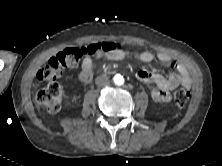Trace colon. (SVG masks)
<instances>
[{
	"label": "colon",
	"instance_id": "colon-1",
	"mask_svg": "<svg viewBox=\"0 0 222 166\" xmlns=\"http://www.w3.org/2000/svg\"><path fill=\"white\" fill-rule=\"evenodd\" d=\"M117 48L118 45L109 42L84 47H70L50 58L37 73L40 80L49 82L47 87L37 93V103L48 112L55 113L59 111L62 107L64 91L58 79L63 70L76 66L83 58L98 57ZM188 99L189 93L185 89H179L175 92L174 100L178 107L185 106Z\"/></svg>",
	"mask_w": 222,
	"mask_h": 166
}]
</instances>
